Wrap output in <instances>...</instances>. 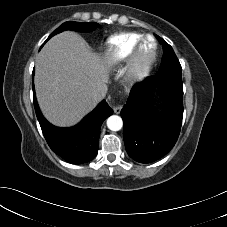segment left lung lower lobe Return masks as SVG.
<instances>
[{
    "label": "left lung lower lobe",
    "mask_w": 227,
    "mask_h": 227,
    "mask_svg": "<svg viewBox=\"0 0 227 227\" xmlns=\"http://www.w3.org/2000/svg\"><path fill=\"white\" fill-rule=\"evenodd\" d=\"M156 87L163 102L157 109L150 94ZM121 117L125 148L132 159L151 163L163 157L175 145L182 125V77L157 73L137 83L130 91Z\"/></svg>",
    "instance_id": "obj_1"
}]
</instances>
